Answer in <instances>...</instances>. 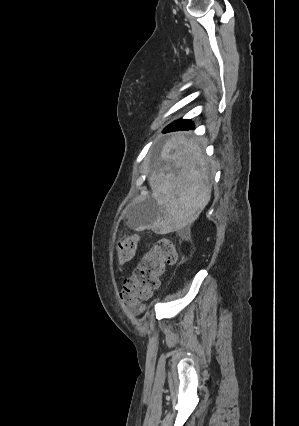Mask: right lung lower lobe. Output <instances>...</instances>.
Masks as SVG:
<instances>
[{"instance_id": "right-lung-lower-lobe-1", "label": "right lung lower lobe", "mask_w": 299, "mask_h": 426, "mask_svg": "<svg viewBox=\"0 0 299 426\" xmlns=\"http://www.w3.org/2000/svg\"><path fill=\"white\" fill-rule=\"evenodd\" d=\"M194 127L193 123L189 120H178L167 126L163 132L176 131V130H188Z\"/></svg>"}]
</instances>
